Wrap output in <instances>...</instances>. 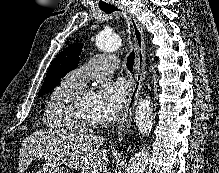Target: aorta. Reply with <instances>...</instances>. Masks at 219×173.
Instances as JSON below:
<instances>
[{
  "label": "aorta",
  "instance_id": "762f6f07",
  "mask_svg": "<svg viewBox=\"0 0 219 173\" xmlns=\"http://www.w3.org/2000/svg\"><path fill=\"white\" fill-rule=\"evenodd\" d=\"M96 45L103 52L122 48V39L114 33L101 31L96 36ZM135 123L143 136H149L153 125V109L149 100H142L136 108ZM149 161V147H143L130 160L125 173H144Z\"/></svg>",
  "mask_w": 219,
  "mask_h": 173
}]
</instances>
